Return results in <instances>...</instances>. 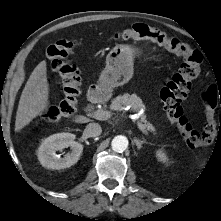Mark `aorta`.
Listing matches in <instances>:
<instances>
[{
	"mask_svg": "<svg viewBox=\"0 0 221 221\" xmlns=\"http://www.w3.org/2000/svg\"><path fill=\"white\" fill-rule=\"evenodd\" d=\"M111 146L115 152L121 153L127 149L128 139L125 136L118 135L113 138L111 142Z\"/></svg>",
	"mask_w": 221,
	"mask_h": 221,
	"instance_id": "1",
	"label": "aorta"
}]
</instances>
